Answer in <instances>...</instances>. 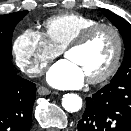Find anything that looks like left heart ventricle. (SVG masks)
Segmentation results:
<instances>
[{
  "mask_svg": "<svg viewBox=\"0 0 131 131\" xmlns=\"http://www.w3.org/2000/svg\"><path fill=\"white\" fill-rule=\"evenodd\" d=\"M116 51V38L112 31L101 29L82 47L69 51L66 58L74 62L85 79L98 76L111 64Z\"/></svg>",
  "mask_w": 131,
  "mask_h": 131,
  "instance_id": "1",
  "label": "left heart ventricle"
}]
</instances>
